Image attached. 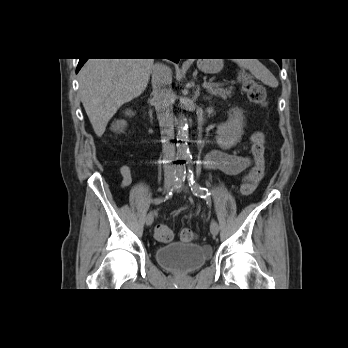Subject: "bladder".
Returning <instances> with one entry per match:
<instances>
[{
    "mask_svg": "<svg viewBox=\"0 0 348 348\" xmlns=\"http://www.w3.org/2000/svg\"><path fill=\"white\" fill-rule=\"evenodd\" d=\"M211 251L200 244L172 242L156 249L159 264L176 274H189L209 258Z\"/></svg>",
    "mask_w": 348,
    "mask_h": 348,
    "instance_id": "bladder-1",
    "label": "bladder"
}]
</instances>
